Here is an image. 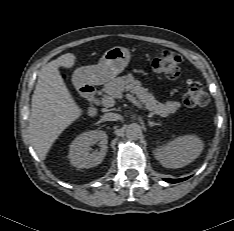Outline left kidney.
<instances>
[{"label": "left kidney", "instance_id": "1", "mask_svg": "<svg viewBox=\"0 0 234 231\" xmlns=\"http://www.w3.org/2000/svg\"><path fill=\"white\" fill-rule=\"evenodd\" d=\"M204 144L195 135H185L155 149V157L166 168H181L202 152Z\"/></svg>", "mask_w": 234, "mask_h": 231}]
</instances>
